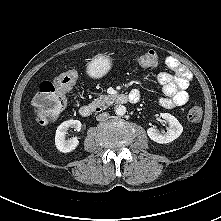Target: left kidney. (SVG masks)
Returning a JSON list of instances; mask_svg holds the SVG:
<instances>
[{
	"label": "left kidney",
	"instance_id": "1",
	"mask_svg": "<svg viewBox=\"0 0 221 221\" xmlns=\"http://www.w3.org/2000/svg\"><path fill=\"white\" fill-rule=\"evenodd\" d=\"M160 116L169 123L168 130L159 132L156 128H149L147 134L151 140L159 144L170 143L177 139L182 131L183 127L180 122L169 113H161Z\"/></svg>",
	"mask_w": 221,
	"mask_h": 221
}]
</instances>
